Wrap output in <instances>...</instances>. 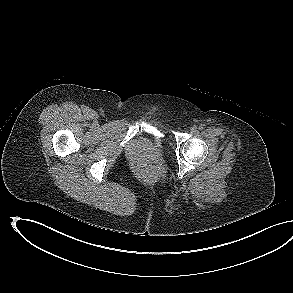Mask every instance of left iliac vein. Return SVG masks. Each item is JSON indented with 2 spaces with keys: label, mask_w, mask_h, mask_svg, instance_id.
Listing matches in <instances>:
<instances>
[{
  "label": "left iliac vein",
  "mask_w": 293,
  "mask_h": 293,
  "mask_svg": "<svg viewBox=\"0 0 293 293\" xmlns=\"http://www.w3.org/2000/svg\"><path fill=\"white\" fill-rule=\"evenodd\" d=\"M190 130H191V133H192V134H196L197 131H198L196 126H192V127L190 128Z\"/></svg>",
  "instance_id": "4c4485c4"
}]
</instances>
